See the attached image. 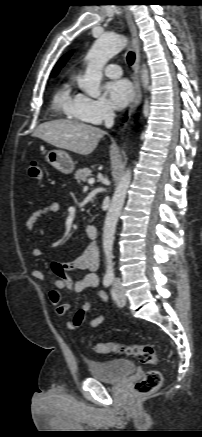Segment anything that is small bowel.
<instances>
[{
    "label": "small bowel",
    "mask_w": 202,
    "mask_h": 437,
    "mask_svg": "<svg viewBox=\"0 0 202 437\" xmlns=\"http://www.w3.org/2000/svg\"><path fill=\"white\" fill-rule=\"evenodd\" d=\"M60 205L58 202L53 201L46 206L34 211L26 220V228L31 231L38 220L44 216L58 212ZM41 249L35 247L32 249V255L34 257L41 256ZM99 267V254L97 247L93 244L89 245L77 258L70 262L55 261L52 263V272L55 275L54 286L55 289L49 291V298L55 308L57 316L66 321V325L70 330H76L81 327L85 321L87 314L92 308V301L86 300L80 309L77 311L73 318H69L70 305L62 301L60 290H68L72 293H80L85 289H96L98 287L99 279L96 274ZM81 271L85 272V275L77 280L73 281L69 276V272ZM31 275L38 281H44L45 275L39 269H33ZM97 297L103 302L108 301V297L105 292L97 291ZM104 321L103 315H96L90 321V326L93 329H97Z\"/></svg>",
    "instance_id": "1"
}]
</instances>
